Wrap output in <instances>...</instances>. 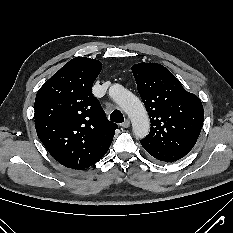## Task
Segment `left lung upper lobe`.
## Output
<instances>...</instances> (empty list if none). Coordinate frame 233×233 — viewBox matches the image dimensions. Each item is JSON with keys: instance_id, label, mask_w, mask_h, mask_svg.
Wrapping results in <instances>:
<instances>
[{"instance_id": "left-lung-upper-lobe-1", "label": "left lung upper lobe", "mask_w": 233, "mask_h": 233, "mask_svg": "<svg viewBox=\"0 0 233 233\" xmlns=\"http://www.w3.org/2000/svg\"><path fill=\"white\" fill-rule=\"evenodd\" d=\"M132 72L151 121L150 133L142 140L167 150L189 153L203 125L200 99L187 92L160 64L138 63L132 66Z\"/></svg>"}]
</instances>
